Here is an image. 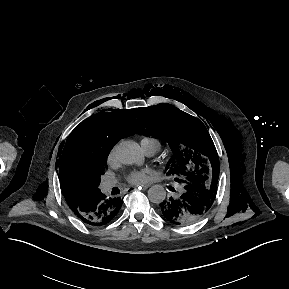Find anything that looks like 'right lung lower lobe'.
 Masks as SVG:
<instances>
[{
  "label": "right lung lower lobe",
  "instance_id": "1",
  "mask_svg": "<svg viewBox=\"0 0 289 289\" xmlns=\"http://www.w3.org/2000/svg\"><path fill=\"white\" fill-rule=\"evenodd\" d=\"M121 205L122 199L120 197L108 198L99 189L90 194L84 202L71 209L83 222L101 226L116 216Z\"/></svg>",
  "mask_w": 289,
  "mask_h": 289
}]
</instances>
